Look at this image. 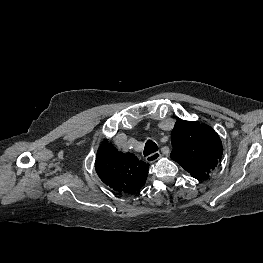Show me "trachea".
<instances>
[{
    "mask_svg": "<svg viewBox=\"0 0 263 263\" xmlns=\"http://www.w3.org/2000/svg\"><path fill=\"white\" fill-rule=\"evenodd\" d=\"M158 150V146L155 142L148 140L144 147V156H148Z\"/></svg>",
    "mask_w": 263,
    "mask_h": 263,
    "instance_id": "1",
    "label": "trachea"
}]
</instances>
